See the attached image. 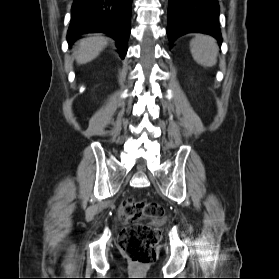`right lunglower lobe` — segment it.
Masks as SVG:
<instances>
[{
	"label": "right lung lower lobe",
	"instance_id": "1",
	"mask_svg": "<svg viewBox=\"0 0 279 279\" xmlns=\"http://www.w3.org/2000/svg\"><path fill=\"white\" fill-rule=\"evenodd\" d=\"M131 11L132 0H74L67 41L71 45L80 34L103 32L116 40L123 59L131 32Z\"/></svg>",
	"mask_w": 279,
	"mask_h": 279
}]
</instances>
